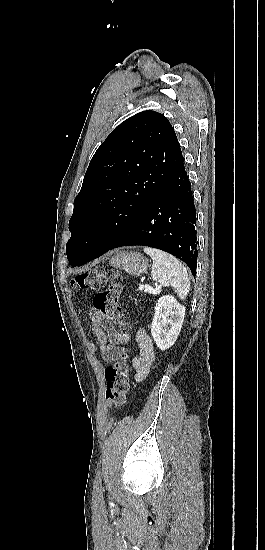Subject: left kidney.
Wrapping results in <instances>:
<instances>
[{
	"instance_id": "1",
	"label": "left kidney",
	"mask_w": 265,
	"mask_h": 550,
	"mask_svg": "<svg viewBox=\"0 0 265 550\" xmlns=\"http://www.w3.org/2000/svg\"><path fill=\"white\" fill-rule=\"evenodd\" d=\"M185 308L171 295L159 298L151 324V334L162 351L170 348L181 331Z\"/></svg>"
}]
</instances>
